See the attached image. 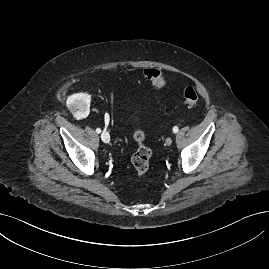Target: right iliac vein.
Here are the masks:
<instances>
[{
  "label": "right iliac vein",
  "mask_w": 269,
  "mask_h": 269,
  "mask_svg": "<svg viewBox=\"0 0 269 269\" xmlns=\"http://www.w3.org/2000/svg\"><path fill=\"white\" fill-rule=\"evenodd\" d=\"M101 139L103 140V142L109 143V141H110V135H109V133L107 131H103L101 133Z\"/></svg>",
  "instance_id": "1"
}]
</instances>
